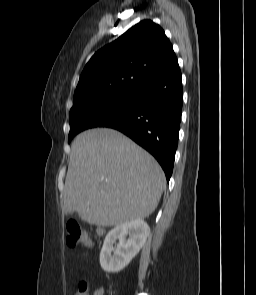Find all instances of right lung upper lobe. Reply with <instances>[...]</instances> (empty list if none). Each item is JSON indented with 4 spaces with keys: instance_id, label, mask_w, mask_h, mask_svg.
<instances>
[{
    "instance_id": "1",
    "label": "right lung upper lobe",
    "mask_w": 256,
    "mask_h": 295,
    "mask_svg": "<svg viewBox=\"0 0 256 295\" xmlns=\"http://www.w3.org/2000/svg\"><path fill=\"white\" fill-rule=\"evenodd\" d=\"M174 57L163 29L143 20L93 55L81 74L73 101L90 102L136 92Z\"/></svg>"
}]
</instances>
